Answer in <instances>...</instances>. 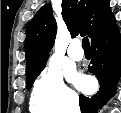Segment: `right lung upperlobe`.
Wrapping results in <instances>:
<instances>
[{
	"mask_svg": "<svg viewBox=\"0 0 121 113\" xmlns=\"http://www.w3.org/2000/svg\"><path fill=\"white\" fill-rule=\"evenodd\" d=\"M62 16L71 34L88 35L92 40L115 25L109 0H62ZM57 32L51 5L41 7L30 21L25 40L26 72L48 58Z\"/></svg>",
	"mask_w": 121,
	"mask_h": 113,
	"instance_id": "cb5924a9",
	"label": "right lung upper lobe"
}]
</instances>
